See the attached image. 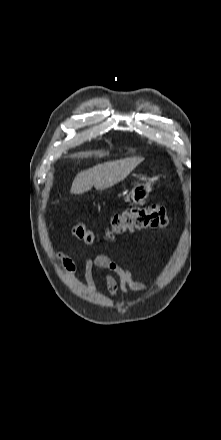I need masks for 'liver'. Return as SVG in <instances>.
Instances as JSON below:
<instances>
[{
  "instance_id": "obj_1",
  "label": "liver",
  "mask_w": 221,
  "mask_h": 440,
  "mask_svg": "<svg viewBox=\"0 0 221 440\" xmlns=\"http://www.w3.org/2000/svg\"><path fill=\"white\" fill-rule=\"evenodd\" d=\"M141 157H130L96 165L76 175L70 189L71 194L80 195L88 192L93 186L104 190L124 180L141 162Z\"/></svg>"
}]
</instances>
